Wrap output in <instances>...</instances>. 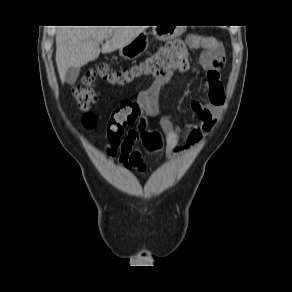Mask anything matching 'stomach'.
<instances>
[{"instance_id": "obj_1", "label": "stomach", "mask_w": 292, "mask_h": 292, "mask_svg": "<svg viewBox=\"0 0 292 292\" xmlns=\"http://www.w3.org/2000/svg\"><path fill=\"white\" fill-rule=\"evenodd\" d=\"M153 34L159 40H167L175 37L177 31L170 27L155 26ZM148 48L146 33L139 34L133 41L120 49V55L125 59H135L142 55Z\"/></svg>"}]
</instances>
